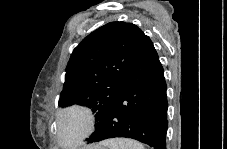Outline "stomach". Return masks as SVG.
<instances>
[{
  "label": "stomach",
  "mask_w": 227,
  "mask_h": 149,
  "mask_svg": "<svg viewBox=\"0 0 227 149\" xmlns=\"http://www.w3.org/2000/svg\"><path fill=\"white\" fill-rule=\"evenodd\" d=\"M88 149H101V148L90 147V148H88Z\"/></svg>",
  "instance_id": "obj_1"
}]
</instances>
